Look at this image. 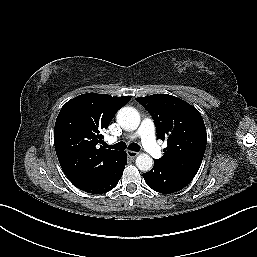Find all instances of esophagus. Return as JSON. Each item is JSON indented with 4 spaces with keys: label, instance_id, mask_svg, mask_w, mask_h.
<instances>
[{
    "label": "esophagus",
    "instance_id": "obj_1",
    "mask_svg": "<svg viewBox=\"0 0 257 257\" xmlns=\"http://www.w3.org/2000/svg\"><path fill=\"white\" fill-rule=\"evenodd\" d=\"M127 155L130 158H135L138 155V152L135 151H127Z\"/></svg>",
    "mask_w": 257,
    "mask_h": 257
}]
</instances>
